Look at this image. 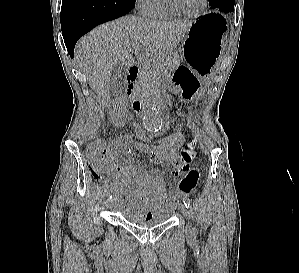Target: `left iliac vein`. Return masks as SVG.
<instances>
[{
  "label": "left iliac vein",
  "mask_w": 299,
  "mask_h": 273,
  "mask_svg": "<svg viewBox=\"0 0 299 273\" xmlns=\"http://www.w3.org/2000/svg\"><path fill=\"white\" fill-rule=\"evenodd\" d=\"M179 210H180V212L185 216V217H187L188 216V209H187V207L185 206V204H180L179 205ZM187 233L189 234L190 233V230L189 229H187Z\"/></svg>",
  "instance_id": "1"
}]
</instances>
